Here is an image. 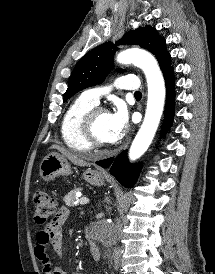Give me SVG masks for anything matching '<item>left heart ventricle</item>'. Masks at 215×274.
I'll use <instances>...</instances> for the list:
<instances>
[{
    "label": "left heart ventricle",
    "mask_w": 215,
    "mask_h": 274,
    "mask_svg": "<svg viewBox=\"0 0 215 274\" xmlns=\"http://www.w3.org/2000/svg\"><path fill=\"white\" fill-rule=\"evenodd\" d=\"M94 130L96 136L105 142H110V132H109V114L107 112H101L98 114Z\"/></svg>",
    "instance_id": "obj_1"
}]
</instances>
